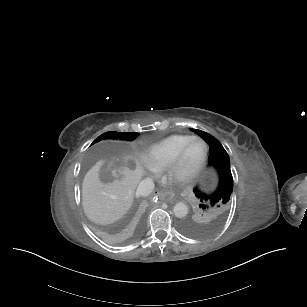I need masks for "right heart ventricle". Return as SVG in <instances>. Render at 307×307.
I'll list each match as a JSON object with an SVG mask.
<instances>
[{"label":"right heart ventricle","mask_w":307,"mask_h":307,"mask_svg":"<svg viewBox=\"0 0 307 307\" xmlns=\"http://www.w3.org/2000/svg\"><path fill=\"white\" fill-rule=\"evenodd\" d=\"M191 138L188 134H171L152 143H138L133 146L132 154L155 167H163L170 162Z\"/></svg>","instance_id":"1"}]
</instances>
